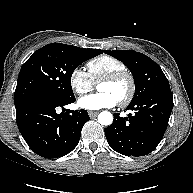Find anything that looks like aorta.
Here are the masks:
<instances>
[{"label": "aorta", "instance_id": "obj_1", "mask_svg": "<svg viewBox=\"0 0 193 193\" xmlns=\"http://www.w3.org/2000/svg\"><path fill=\"white\" fill-rule=\"evenodd\" d=\"M98 122L101 125L109 126L113 122V115L108 111H103L98 115Z\"/></svg>", "mask_w": 193, "mask_h": 193}]
</instances>
